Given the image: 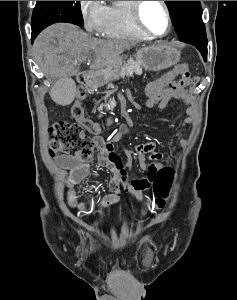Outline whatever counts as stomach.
I'll list each match as a JSON object with an SVG mask.
<instances>
[{
    "mask_svg": "<svg viewBox=\"0 0 237 300\" xmlns=\"http://www.w3.org/2000/svg\"><path fill=\"white\" fill-rule=\"evenodd\" d=\"M181 51H178L174 45L170 43H155L151 47H143L138 49L136 59L145 71H163L169 69L173 65L179 63ZM123 63V57H118L112 65H107L105 69H101L98 75L97 87H102L109 83L111 79H118Z\"/></svg>",
    "mask_w": 237,
    "mask_h": 300,
    "instance_id": "1",
    "label": "stomach"
}]
</instances>
